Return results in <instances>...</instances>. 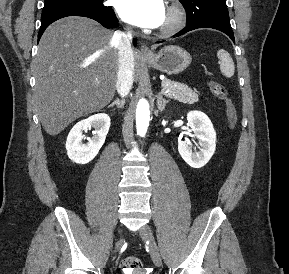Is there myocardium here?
Segmentation results:
<instances>
[{
    "label": "myocardium",
    "mask_w": 289,
    "mask_h": 274,
    "mask_svg": "<svg viewBox=\"0 0 289 274\" xmlns=\"http://www.w3.org/2000/svg\"><path fill=\"white\" fill-rule=\"evenodd\" d=\"M167 22L159 28V33L169 36L177 33L185 24L186 14L183 7L173 2L167 7Z\"/></svg>",
    "instance_id": "f54148a6"
}]
</instances>
